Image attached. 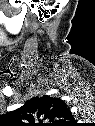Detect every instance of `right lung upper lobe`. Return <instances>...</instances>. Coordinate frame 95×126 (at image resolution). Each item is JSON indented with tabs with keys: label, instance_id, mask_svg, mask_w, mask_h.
Wrapping results in <instances>:
<instances>
[{
	"label": "right lung upper lobe",
	"instance_id": "obj_1",
	"mask_svg": "<svg viewBox=\"0 0 95 126\" xmlns=\"http://www.w3.org/2000/svg\"><path fill=\"white\" fill-rule=\"evenodd\" d=\"M6 119L19 126H72L74 117L60 98L34 97L22 107L6 114Z\"/></svg>",
	"mask_w": 95,
	"mask_h": 126
}]
</instances>
